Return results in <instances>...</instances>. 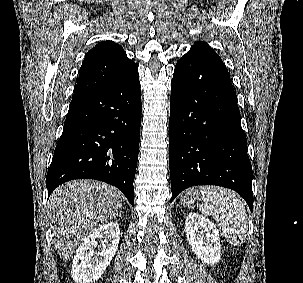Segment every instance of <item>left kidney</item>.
Here are the masks:
<instances>
[{
	"mask_svg": "<svg viewBox=\"0 0 303 283\" xmlns=\"http://www.w3.org/2000/svg\"><path fill=\"white\" fill-rule=\"evenodd\" d=\"M186 237L192 251L208 265L220 260V236L216 226L207 218L190 213L185 221Z\"/></svg>",
	"mask_w": 303,
	"mask_h": 283,
	"instance_id": "left-kidney-1",
	"label": "left kidney"
}]
</instances>
